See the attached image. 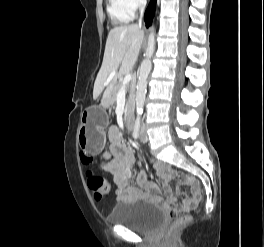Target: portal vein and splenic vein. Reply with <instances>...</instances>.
Returning a JSON list of instances; mask_svg holds the SVG:
<instances>
[{
    "instance_id": "portal-vein-and-splenic-vein-1",
    "label": "portal vein and splenic vein",
    "mask_w": 264,
    "mask_h": 247,
    "mask_svg": "<svg viewBox=\"0 0 264 247\" xmlns=\"http://www.w3.org/2000/svg\"><path fill=\"white\" fill-rule=\"evenodd\" d=\"M115 72L111 73L107 82L105 83V85H107L112 79L113 77L115 76ZM131 81V76L130 75H126L123 79V82H122V87H126Z\"/></svg>"
}]
</instances>
